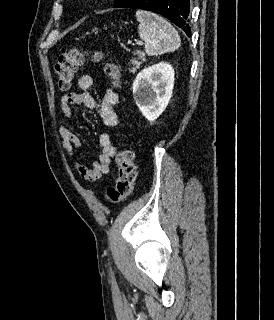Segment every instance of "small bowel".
<instances>
[{"mask_svg":"<svg viewBox=\"0 0 274 320\" xmlns=\"http://www.w3.org/2000/svg\"><path fill=\"white\" fill-rule=\"evenodd\" d=\"M91 86L92 77L88 74H83L77 81L79 91L67 93L62 96L61 109L67 120H72V105L83 104L88 109H94L96 107L93 96L88 92ZM117 102L118 95L111 89H108L101 98L99 114L104 125L108 128H114L118 124V114L115 111ZM59 134L62 147L70 158L71 166L86 181L95 182L110 172L112 159L117 155L118 151L109 134L102 133L99 135L98 140L102 151L91 168L74 159L76 150L81 146L80 138L68 127L63 125L59 128Z\"/></svg>","mask_w":274,"mask_h":320,"instance_id":"1","label":"small bowel"}]
</instances>
